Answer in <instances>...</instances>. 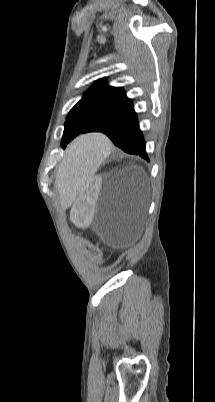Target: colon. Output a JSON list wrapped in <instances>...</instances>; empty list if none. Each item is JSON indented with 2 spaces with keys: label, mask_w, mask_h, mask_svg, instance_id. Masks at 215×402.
Listing matches in <instances>:
<instances>
[{
  "label": "colon",
  "mask_w": 215,
  "mask_h": 402,
  "mask_svg": "<svg viewBox=\"0 0 215 402\" xmlns=\"http://www.w3.org/2000/svg\"><path fill=\"white\" fill-rule=\"evenodd\" d=\"M71 242L77 243V248L85 251L86 256L89 260H103L105 258V253L103 251H94L95 244L90 243L88 239H82L81 236L77 235L70 238Z\"/></svg>",
  "instance_id": "5ec220e1"
}]
</instances>
